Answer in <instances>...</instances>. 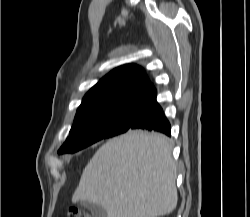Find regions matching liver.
Wrapping results in <instances>:
<instances>
[{"label": "liver", "instance_id": "1", "mask_svg": "<svg viewBox=\"0 0 250 217\" xmlns=\"http://www.w3.org/2000/svg\"><path fill=\"white\" fill-rule=\"evenodd\" d=\"M164 135L128 131L102 145L83 170L72 202L102 206L107 217H158L177 206V170Z\"/></svg>", "mask_w": 250, "mask_h": 217}]
</instances>
